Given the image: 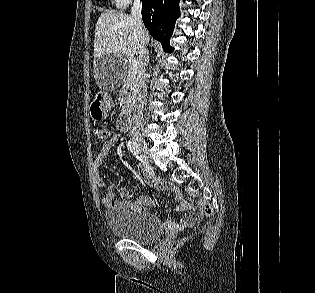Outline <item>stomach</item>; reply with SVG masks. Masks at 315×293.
Listing matches in <instances>:
<instances>
[{
	"mask_svg": "<svg viewBox=\"0 0 315 293\" xmlns=\"http://www.w3.org/2000/svg\"><path fill=\"white\" fill-rule=\"evenodd\" d=\"M113 101L114 98L112 96L101 93L90 106V116L94 120H103L112 106Z\"/></svg>",
	"mask_w": 315,
	"mask_h": 293,
	"instance_id": "1",
	"label": "stomach"
}]
</instances>
